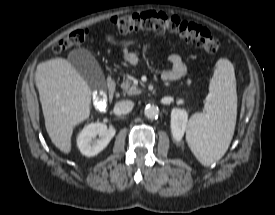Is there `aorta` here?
<instances>
[{
  "mask_svg": "<svg viewBox=\"0 0 275 215\" xmlns=\"http://www.w3.org/2000/svg\"><path fill=\"white\" fill-rule=\"evenodd\" d=\"M144 114L148 119H156L159 115V108L154 105H147Z\"/></svg>",
  "mask_w": 275,
  "mask_h": 215,
  "instance_id": "obj_1",
  "label": "aorta"
}]
</instances>
